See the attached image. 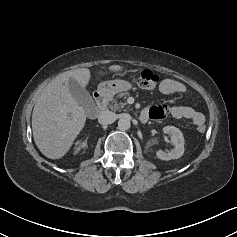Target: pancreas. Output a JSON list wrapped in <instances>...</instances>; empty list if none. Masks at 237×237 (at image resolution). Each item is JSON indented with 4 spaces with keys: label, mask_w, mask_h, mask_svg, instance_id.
Here are the masks:
<instances>
[{
    "label": "pancreas",
    "mask_w": 237,
    "mask_h": 237,
    "mask_svg": "<svg viewBox=\"0 0 237 237\" xmlns=\"http://www.w3.org/2000/svg\"><path fill=\"white\" fill-rule=\"evenodd\" d=\"M124 98L127 96V94H124V95H121L120 97H123ZM126 103L125 102H117L116 100H112V103L109 104V108L114 110V111H117V110H122L124 107H125Z\"/></svg>",
    "instance_id": "cf45deb5"
}]
</instances>
